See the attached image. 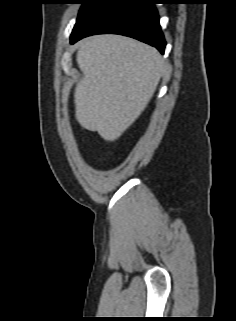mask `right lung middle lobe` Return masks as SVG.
<instances>
[{
	"instance_id": "dd1d6c3e",
	"label": "right lung middle lobe",
	"mask_w": 236,
	"mask_h": 321,
	"mask_svg": "<svg viewBox=\"0 0 236 321\" xmlns=\"http://www.w3.org/2000/svg\"><path fill=\"white\" fill-rule=\"evenodd\" d=\"M109 0H80L82 7L79 11V15L76 24L73 28L71 37L74 36L84 24Z\"/></svg>"
}]
</instances>
